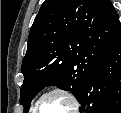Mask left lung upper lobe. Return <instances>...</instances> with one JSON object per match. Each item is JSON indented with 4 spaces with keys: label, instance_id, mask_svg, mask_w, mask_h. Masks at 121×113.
I'll use <instances>...</instances> for the list:
<instances>
[{
    "label": "left lung upper lobe",
    "instance_id": "left-lung-upper-lobe-1",
    "mask_svg": "<svg viewBox=\"0 0 121 113\" xmlns=\"http://www.w3.org/2000/svg\"><path fill=\"white\" fill-rule=\"evenodd\" d=\"M120 26L110 0H45L31 27L21 67L24 112L49 85L78 99Z\"/></svg>",
    "mask_w": 121,
    "mask_h": 113
}]
</instances>
